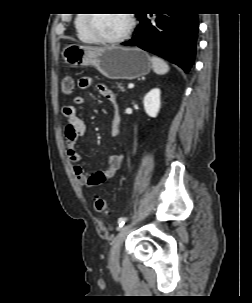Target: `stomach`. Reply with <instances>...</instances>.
<instances>
[{
    "mask_svg": "<svg viewBox=\"0 0 252 303\" xmlns=\"http://www.w3.org/2000/svg\"><path fill=\"white\" fill-rule=\"evenodd\" d=\"M62 57L71 67L94 66L103 76L114 80L139 78L152 67L149 56L136 47L69 44L63 49Z\"/></svg>",
    "mask_w": 252,
    "mask_h": 303,
    "instance_id": "obj_1",
    "label": "stomach"
}]
</instances>
